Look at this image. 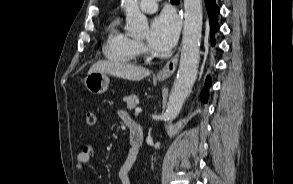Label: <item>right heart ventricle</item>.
Masks as SVG:
<instances>
[{"mask_svg":"<svg viewBox=\"0 0 293 184\" xmlns=\"http://www.w3.org/2000/svg\"><path fill=\"white\" fill-rule=\"evenodd\" d=\"M103 52L109 60L123 63L133 62L139 55L136 41L122 30L118 18L113 19L107 27Z\"/></svg>","mask_w":293,"mask_h":184,"instance_id":"1","label":"right heart ventricle"}]
</instances>
